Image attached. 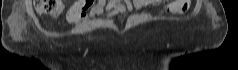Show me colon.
I'll list each match as a JSON object with an SVG mask.
<instances>
[{"label": "colon", "instance_id": "colon-1", "mask_svg": "<svg viewBox=\"0 0 238 70\" xmlns=\"http://www.w3.org/2000/svg\"><path fill=\"white\" fill-rule=\"evenodd\" d=\"M180 8L177 12H184L187 10L190 1L189 0H176ZM175 2V1H174ZM35 8L39 14H47L53 17L58 16L63 10L62 0H36Z\"/></svg>", "mask_w": 238, "mask_h": 70}]
</instances>
